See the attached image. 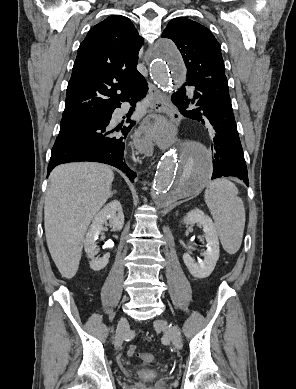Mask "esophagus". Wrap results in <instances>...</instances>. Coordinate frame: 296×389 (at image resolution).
<instances>
[{
  "mask_svg": "<svg viewBox=\"0 0 296 389\" xmlns=\"http://www.w3.org/2000/svg\"><path fill=\"white\" fill-rule=\"evenodd\" d=\"M152 108L155 112L148 114L146 122H140L134 131L133 147L142 155L150 154V144L155 131H168L171 128V108L166 96L151 82L148 83Z\"/></svg>",
  "mask_w": 296,
  "mask_h": 389,
  "instance_id": "obj_1",
  "label": "esophagus"
}]
</instances>
